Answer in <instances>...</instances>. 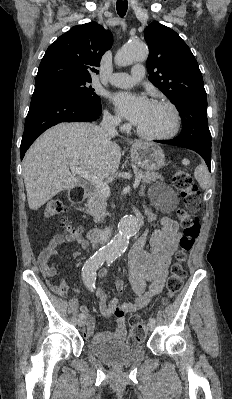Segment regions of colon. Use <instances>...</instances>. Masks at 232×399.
<instances>
[{
    "mask_svg": "<svg viewBox=\"0 0 232 399\" xmlns=\"http://www.w3.org/2000/svg\"><path fill=\"white\" fill-rule=\"evenodd\" d=\"M179 165L183 168H189V163L185 160H179ZM174 179L178 182L181 191L182 199L180 202L181 209L177 210L181 214L180 222H183L182 230L185 236L181 238V244L177 247L172 269H169L171 276H166L165 288L161 294L160 302L164 306L172 304L174 298L177 296L178 289H181L182 281L185 274L184 261L187 260L189 250L194 244V239H198L201 234L200 225H198V211H201L200 203L195 202V196H201V191H194L193 181L191 175H187L185 171L178 170L174 174ZM46 216H53L54 219H62L66 212V207L59 199H54L44 206ZM58 213V214H55ZM55 256V251L51 247H46L38 256L37 261L41 265H46ZM47 278L52 282L51 289L58 292L62 298H67L71 294V289L60 278V273L56 269H51L47 273ZM152 314L156 318H161L165 314V309L161 305H156L152 309ZM129 323L132 325L131 341H144L146 330L145 325H142L139 317H130ZM126 347H134V342H126Z\"/></svg>",
    "mask_w": 232,
    "mask_h": 399,
    "instance_id": "1",
    "label": "colon"
}]
</instances>
